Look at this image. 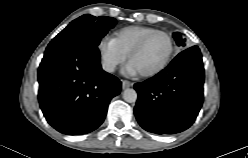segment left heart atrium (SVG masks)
Instances as JSON below:
<instances>
[{"label":"left heart atrium","mask_w":248,"mask_h":158,"mask_svg":"<svg viewBox=\"0 0 248 158\" xmlns=\"http://www.w3.org/2000/svg\"><path fill=\"white\" fill-rule=\"evenodd\" d=\"M124 73H125L126 75H136V74H138L139 72H138V70L136 69V67L133 65V63H132V62H129V63L125 66V68H124Z\"/></svg>","instance_id":"39dd6f15"}]
</instances>
